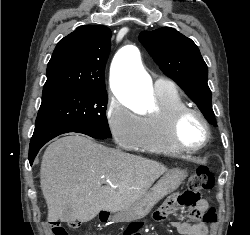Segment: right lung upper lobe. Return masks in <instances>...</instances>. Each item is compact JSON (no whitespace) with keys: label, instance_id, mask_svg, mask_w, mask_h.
I'll return each instance as SVG.
<instances>
[{"label":"right lung upper lobe","instance_id":"1","mask_svg":"<svg viewBox=\"0 0 250 235\" xmlns=\"http://www.w3.org/2000/svg\"><path fill=\"white\" fill-rule=\"evenodd\" d=\"M110 39V29L102 25L80 26L61 39L47 66L42 97L69 90L105 88Z\"/></svg>","mask_w":250,"mask_h":235}]
</instances>
